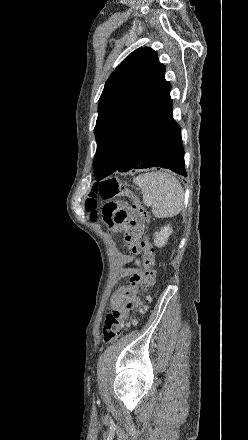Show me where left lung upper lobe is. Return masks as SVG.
Wrapping results in <instances>:
<instances>
[{"mask_svg":"<svg viewBox=\"0 0 248 440\" xmlns=\"http://www.w3.org/2000/svg\"><path fill=\"white\" fill-rule=\"evenodd\" d=\"M151 48L133 51L110 75L95 126L97 181L112 174L127 152L172 115L171 86Z\"/></svg>","mask_w":248,"mask_h":440,"instance_id":"left-lung-upper-lobe-1","label":"left lung upper lobe"}]
</instances>
